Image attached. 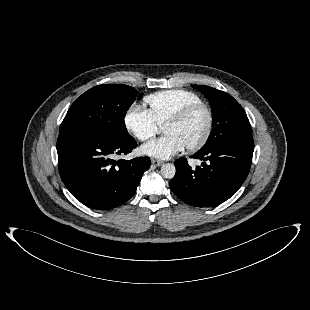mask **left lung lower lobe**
I'll use <instances>...</instances> for the list:
<instances>
[{
  "instance_id": "1",
  "label": "left lung lower lobe",
  "mask_w": 310,
  "mask_h": 310,
  "mask_svg": "<svg viewBox=\"0 0 310 310\" xmlns=\"http://www.w3.org/2000/svg\"><path fill=\"white\" fill-rule=\"evenodd\" d=\"M254 142L252 136L240 137L203 151L191 158L208 161L192 170L186 159L174 162L176 174L170 181L175 195L196 207L218 205L241 187L252 162Z\"/></svg>"
}]
</instances>
